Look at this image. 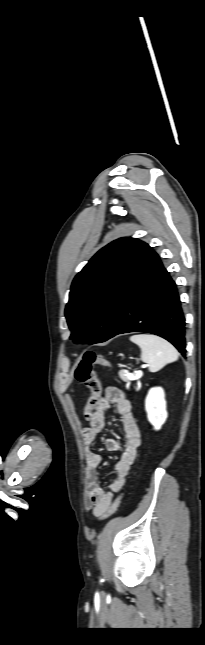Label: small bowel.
<instances>
[{
	"label": "small bowel",
	"instance_id": "c3829d8e",
	"mask_svg": "<svg viewBox=\"0 0 205 645\" xmlns=\"http://www.w3.org/2000/svg\"><path fill=\"white\" fill-rule=\"evenodd\" d=\"M111 405L115 406L116 412L121 417L125 444L120 459L115 465V477L105 490L97 474L101 456L92 451L91 446L105 427L106 411ZM94 409L90 425L82 429L81 436L85 445L86 459V508L90 509L93 515L101 516L110 506L113 496L121 491L126 482L141 444V433L132 413L131 402L117 388L107 387ZM105 445L109 451L120 449V442L116 438H107Z\"/></svg>",
	"mask_w": 205,
	"mask_h": 645
}]
</instances>
